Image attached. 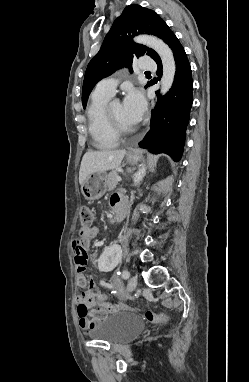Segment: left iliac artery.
Masks as SVG:
<instances>
[{"mask_svg":"<svg viewBox=\"0 0 249 382\" xmlns=\"http://www.w3.org/2000/svg\"><path fill=\"white\" fill-rule=\"evenodd\" d=\"M129 276H130V273H129L128 270H124V271L122 272V277H123V279H127V278H129Z\"/></svg>","mask_w":249,"mask_h":382,"instance_id":"obj_1","label":"left iliac artery"}]
</instances>
